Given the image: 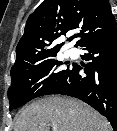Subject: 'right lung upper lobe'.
I'll use <instances>...</instances> for the list:
<instances>
[{
	"label": "right lung upper lobe",
	"mask_w": 117,
	"mask_h": 131,
	"mask_svg": "<svg viewBox=\"0 0 117 131\" xmlns=\"http://www.w3.org/2000/svg\"><path fill=\"white\" fill-rule=\"evenodd\" d=\"M115 26L108 0H44L27 19L11 70L58 52L64 42L57 44V38L69 31L79 30L67 40L77 37L75 46L81 47Z\"/></svg>",
	"instance_id": "1"
}]
</instances>
